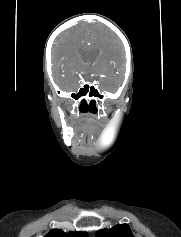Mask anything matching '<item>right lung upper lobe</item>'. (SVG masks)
<instances>
[{"label":"right lung upper lobe","mask_w":181,"mask_h":237,"mask_svg":"<svg viewBox=\"0 0 181 237\" xmlns=\"http://www.w3.org/2000/svg\"><path fill=\"white\" fill-rule=\"evenodd\" d=\"M44 237H89L86 232L65 233L61 229H53Z\"/></svg>","instance_id":"obj_1"}]
</instances>
